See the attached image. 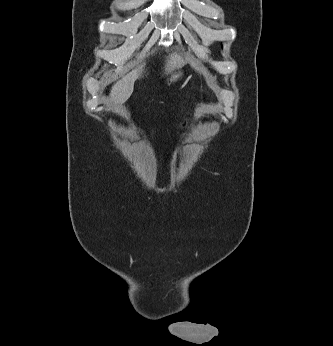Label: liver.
I'll list each match as a JSON object with an SVG mask.
<instances>
[{
    "label": "liver",
    "mask_w": 333,
    "mask_h": 346,
    "mask_svg": "<svg viewBox=\"0 0 333 346\" xmlns=\"http://www.w3.org/2000/svg\"><path fill=\"white\" fill-rule=\"evenodd\" d=\"M183 64V59L176 53L171 54L165 64V73H169L174 69L180 67ZM146 63L143 62L136 69L132 70L128 74L124 75L120 80H118L111 89L110 92V102L113 107H118L122 105L131 96L134 83L141 77Z\"/></svg>",
    "instance_id": "obj_1"
}]
</instances>
